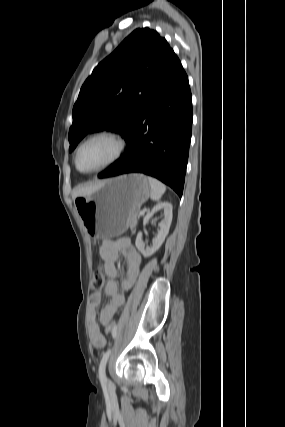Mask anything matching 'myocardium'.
I'll return each instance as SVG.
<instances>
[{
  "instance_id": "obj_1",
  "label": "myocardium",
  "mask_w": 285,
  "mask_h": 427,
  "mask_svg": "<svg viewBox=\"0 0 285 427\" xmlns=\"http://www.w3.org/2000/svg\"><path fill=\"white\" fill-rule=\"evenodd\" d=\"M97 138H109V139L113 140L117 146L116 152L113 155V157L109 161H107L105 164H103L102 166H100L96 169H93V170L83 171L80 169L79 164H78L79 153H80L81 149L87 143H89L90 141L97 139ZM125 150H126V141L120 133L113 131V130H102V131H99V132H96V133L90 135L89 137H87L85 140H83L79 144V146L76 150V153H75L74 163H75L77 170L80 173H83V174L99 173V172H102V171L108 169L112 165H114L122 157Z\"/></svg>"
}]
</instances>
